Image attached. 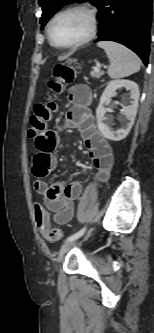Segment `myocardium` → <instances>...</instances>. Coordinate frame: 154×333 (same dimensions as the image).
Returning <instances> with one entry per match:
<instances>
[{"mask_svg": "<svg viewBox=\"0 0 154 333\" xmlns=\"http://www.w3.org/2000/svg\"><path fill=\"white\" fill-rule=\"evenodd\" d=\"M75 11L82 12L87 16V18H88L87 33L81 39H79L71 44H68V45H59V44L55 43V41L53 39V35H52V26H53L54 22L60 16L66 14V13L75 12ZM97 30H98L97 13H96L95 9H93L91 6L86 5V4H74V5H70L68 7L61 9L51 18V20L48 24V27H47V33H48L49 40H50L51 44L58 49H73V48L82 46V45L88 43L89 41H91L95 37Z\"/></svg>", "mask_w": 154, "mask_h": 333, "instance_id": "1", "label": "myocardium"}]
</instances>
